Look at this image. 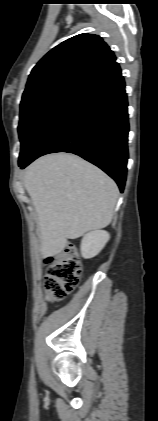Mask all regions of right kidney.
<instances>
[{"label": "right kidney", "instance_id": "ca27d5eb", "mask_svg": "<svg viewBox=\"0 0 158 421\" xmlns=\"http://www.w3.org/2000/svg\"><path fill=\"white\" fill-rule=\"evenodd\" d=\"M110 235L103 230H96L87 233L81 241V254L85 259L95 257L109 241Z\"/></svg>", "mask_w": 158, "mask_h": 421}]
</instances>
